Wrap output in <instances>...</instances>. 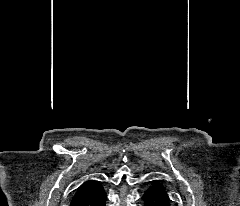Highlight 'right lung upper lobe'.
<instances>
[{"instance_id": "obj_1", "label": "right lung upper lobe", "mask_w": 240, "mask_h": 206, "mask_svg": "<svg viewBox=\"0 0 240 206\" xmlns=\"http://www.w3.org/2000/svg\"><path fill=\"white\" fill-rule=\"evenodd\" d=\"M99 186V182L95 180L84 182L76 191L72 201L85 197L92 193Z\"/></svg>"}]
</instances>
